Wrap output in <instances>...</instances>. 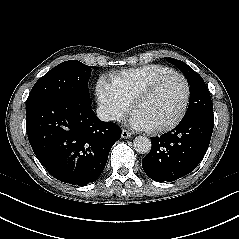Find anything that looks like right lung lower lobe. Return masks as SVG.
I'll use <instances>...</instances> for the list:
<instances>
[{
    "mask_svg": "<svg viewBox=\"0 0 239 239\" xmlns=\"http://www.w3.org/2000/svg\"><path fill=\"white\" fill-rule=\"evenodd\" d=\"M26 108L30 145L54 178L84 186L101 175L121 129L99 120L90 99H46Z\"/></svg>",
    "mask_w": 239,
    "mask_h": 239,
    "instance_id": "right-lung-lower-lobe-1",
    "label": "right lung lower lobe"
}]
</instances>
